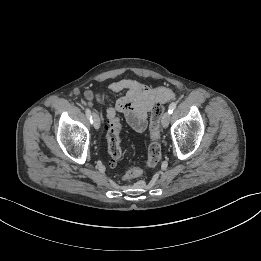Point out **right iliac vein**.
<instances>
[{"mask_svg": "<svg viewBox=\"0 0 261 261\" xmlns=\"http://www.w3.org/2000/svg\"><path fill=\"white\" fill-rule=\"evenodd\" d=\"M92 120H93V125L95 129H99L101 121L99 116L96 113H92Z\"/></svg>", "mask_w": 261, "mask_h": 261, "instance_id": "63e3f726", "label": "right iliac vein"}]
</instances>
